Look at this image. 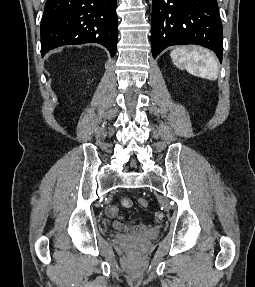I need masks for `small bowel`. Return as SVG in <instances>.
Listing matches in <instances>:
<instances>
[{"mask_svg":"<svg viewBox=\"0 0 255 287\" xmlns=\"http://www.w3.org/2000/svg\"><path fill=\"white\" fill-rule=\"evenodd\" d=\"M121 204L124 208L129 209L132 207V200L129 198H123ZM106 214L113 219V226L121 231H128L131 233L149 232L152 231L156 224H160L164 220V214L162 212H155L153 222L148 224H139L134 226H126L124 224V218L118 215V208L116 204H108L106 206Z\"/></svg>","mask_w":255,"mask_h":287,"instance_id":"1","label":"small bowel"}]
</instances>
